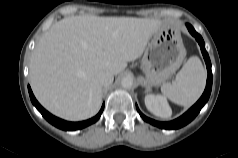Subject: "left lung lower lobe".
Listing matches in <instances>:
<instances>
[{
  "label": "left lung lower lobe",
  "instance_id": "obj_1",
  "mask_svg": "<svg viewBox=\"0 0 238 158\" xmlns=\"http://www.w3.org/2000/svg\"><path fill=\"white\" fill-rule=\"evenodd\" d=\"M189 32L195 37V39L198 41L203 57L205 59L206 62V66H207V71H208V77H207V83H206V88L205 91L203 93V95L201 96V98L197 101V103L192 106L186 113H184L182 116H180L179 118L170 121V122H158L155 120H152L148 117H146L145 115H143L140 110L137 108V111L139 112L140 116L146 121L151 123L154 126H157L159 128H163V129H178L181 128L183 126H185L186 124H188L189 122H191L196 116L197 114L200 112L201 108L205 105V103L208 101L210 93H211V89H212V71H211V62H210V58L208 56V53L205 50V43L202 39V37L194 30V28L190 25V24H186Z\"/></svg>",
  "mask_w": 238,
  "mask_h": 158
}]
</instances>
